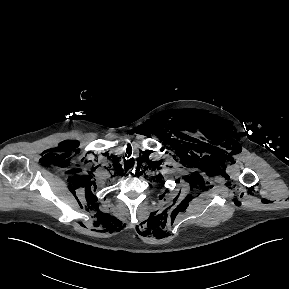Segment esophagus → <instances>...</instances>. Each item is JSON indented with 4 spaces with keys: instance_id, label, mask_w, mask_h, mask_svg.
Instances as JSON below:
<instances>
[{
    "instance_id": "esophagus-1",
    "label": "esophagus",
    "mask_w": 289,
    "mask_h": 289,
    "mask_svg": "<svg viewBox=\"0 0 289 289\" xmlns=\"http://www.w3.org/2000/svg\"><path fill=\"white\" fill-rule=\"evenodd\" d=\"M128 173H129V176H132V173H134V170H132V171L129 170Z\"/></svg>"
}]
</instances>
